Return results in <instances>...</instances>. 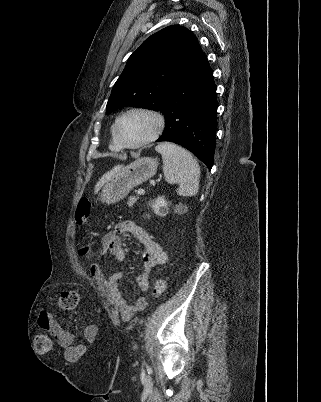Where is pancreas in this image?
<instances>
[{
  "mask_svg": "<svg viewBox=\"0 0 321 402\" xmlns=\"http://www.w3.org/2000/svg\"><path fill=\"white\" fill-rule=\"evenodd\" d=\"M136 201H137V198L131 196V197H129V199H128L127 205H128L129 207H133V205L136 203Z\"/></svg>",
  "mask_w": 321,
  "mask_h": 402,
  "instance_id": "1",
  "label": "pancreas"
}]
</instances>
